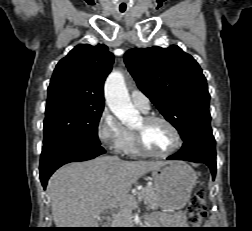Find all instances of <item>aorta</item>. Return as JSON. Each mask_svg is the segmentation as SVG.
<instances>
[{
  "label": "aorta",
  "mask_w": 252,
  "mask_h": 231,
  "mask_svg": "<svg viewBox=\"0 0 252 231\" xmlns=\"http://www.w3.org/2000/svg\"><path fill=\"white\" fill-rule=\"evenodd\" d=\"M105 99L114 115L124 124L135 122L139 112L130 101L124 76L121 72H112L105 82Z\"/></svg>",
  "instance_id": "762f6f07"
}]
</instances>
